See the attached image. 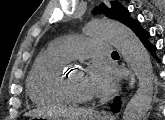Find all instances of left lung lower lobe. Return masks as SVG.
Returning a JSON list of instances; mask_svg holds the SVG:
<instances>
[{
	"instance_id": "obj_1",
	"label": "left lung lower lobe",
	"mask_w": 165,
	"mask_h": 120,
	"mask_svg": "<svg viewBox=\"0 0 165 120\" xmlns=\"http://www.w3.org/2000/svg\"><path fill=\"white\" fill-rule=\"evenodd\" d=\"M129 28L138 36V38L142 41L144 46L151 52V54H153L156 50V47L148 41L150 34L141 27L140 22L138 20H133ZM120 106V97H117L112 105V111L118 112Z\"/></svg>"
}]
</instances>
